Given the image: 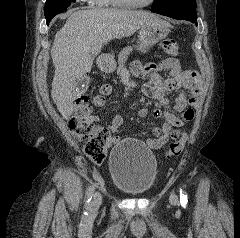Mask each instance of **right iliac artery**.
<instances>
[{
  "label": "right iliac artery",
  "instance_id": "82829eb1",
  "mask_svg": "<svg viewBox=\"0 0 240 238\" xmlns=\"http://www.w3.org/2000/svg\"><path fill=\"white\" fill-rule=\"evenodd\" d=\"M94 190H95V186H94V185H91V186L89 187L88 191H87V197H86L87 200H86V203H85V205H86L87 208H89V203H90V200H91L92 195H93V193H94ZM85 214H87V213H85Z\"/></svg>",
  "mask_w": 240,
  "mask_h": 238
}]
</instances>
